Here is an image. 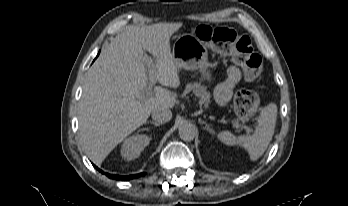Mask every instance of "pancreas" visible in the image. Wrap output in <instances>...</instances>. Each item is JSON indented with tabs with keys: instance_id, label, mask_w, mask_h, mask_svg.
Masks as SVG:
<instances>
[{
	"instance_id": "1",
	"label": "pancreas",
	"mask_w": 348,
	"mask_h": 206,
	"mask_svg": "<svg viewBox=\"0 0 348 206\" xmlns=\"http://www.w3.org/2000/svg\"><path fill=\"white\" fill-rule=\"evenodd\" d=\"M185 91L194 93L195 96L199 98V104L204 105L205 108H208L211 95L209 92H207V88L201 85V83H188Z\"/></svg>"
}]
</instances>
